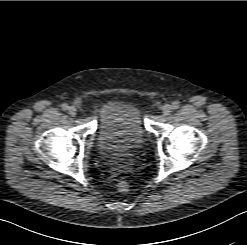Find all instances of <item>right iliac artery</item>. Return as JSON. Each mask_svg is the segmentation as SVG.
Instances as JSON below:
<instances>
[{
    "instance_id": "right-iliac-artery-1",
    "label": "right iliac artery",
    "mask_w": 247,
    "mask_h": 245,
    "mask_svg": "<svg viewBox=\"0 0 247 245\" xmlns=\"http://www.w3.org/2000/svg\"><path fill=\"white\" fill-rule=\"evenodd\" d=\"M62 109H63L64 111L68 110V109H69L68 104H66V103L62 104Z\"/></svg>"
}]
</instances>
